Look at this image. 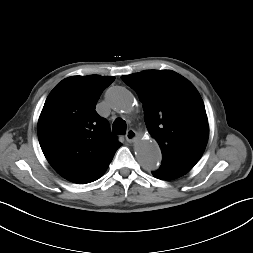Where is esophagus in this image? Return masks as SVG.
<instances>
[{"label": "esophagus", "instance_id": "esophagus-1", "mask_svg": "<svg viewBox=\"0 0 253 253\" xmlns=\"http://www.w3.org/2000/svg\"><path fill=\"white\" fill-rule=\"evenodd\" d=\"M125 137H126V140L131 143V142H134L136 140L137 134H136L135 130L129 129L127 131Z\"/></svg>", "mask_w": 253, "mask_h": 253}]
</instances>
